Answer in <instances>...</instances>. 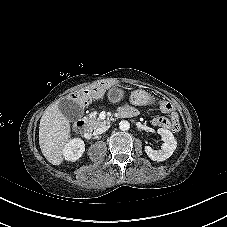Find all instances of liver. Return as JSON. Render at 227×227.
<instances>
[{
	"label": "liver",
	"mask_w": 227,
	"mask_h": 227,
	"mask_svg": "<svg viewBox=\"0 0 227 227\" xmlns=\"http://www.w3.org/2000/svg\"><path fill=\"white\" fill-rule=\"evenodd\" d=\"M59 103L50 105L44 112L39 126V145L43 156L53 165L63 161L62 150L70 141V123L58 108Z\"/></svg>",
	"instance_id": "1"
}]
</instances>
